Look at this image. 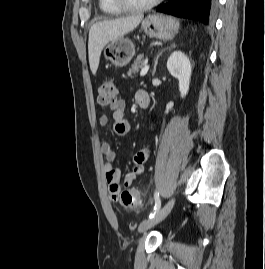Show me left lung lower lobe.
<instances>
[{
    "mask_svg": "<svg viewBox=\"0 0 265 269\" xmlns=\"http://www.w3.org/2000/svg\"><path fill=\"white\" fill-rule=\"evenodd\" d=\"M218 0H168L157 12L196 20L210 25L217 12Z\"/></svg>",
    "mask_w": 265,
    "mask_h": 269,
    "instance_id": "1",
    "label": "left lung lower lobe"
}]
</instances>
